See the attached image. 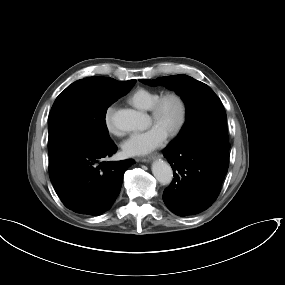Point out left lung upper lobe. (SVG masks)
<instances>
[{
  "label": "left lung upper lobe",
  "instance_id": "obj_1",
  "mask_svg": "<svg viewBox=\"0 0 285 285\" xmlns=\"http://www.w3.org/2000/svg\"><path fill=\"white\" fill-rule=\"evenodd\" d=\"M151 85L173 89L186 104V121L178 136L166 147L177 149L197 141L215 139L228 142L227 117L221 100L206 84L187 75H172L154 80Z\"/></svg>",
  "mask_w": 285,
  "mask_h": 285
}]
</instances>
